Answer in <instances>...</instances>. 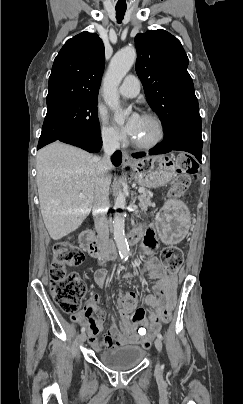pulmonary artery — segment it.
<instances>
[{"label":"pulmonary artery","mask_w":243,"mask_h":404,"mask_svg":"<svg viewBox=\"0 0 243 404\" xmlns=\"http://www.w3.org/2000/svg\"><path fill=\"white\" fill-rule=\"evenodd\" d=\"M141 82L140 79L133 74L127 75L119 87V93L123 97L133 98L140 93Z\"/></svg>","instance_id":"pulmonary-artery-1"}]
</instances>
